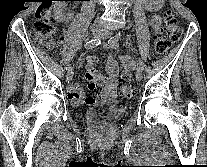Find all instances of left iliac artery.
Listing matches in <instances>:
<instances>
[{
    "instance_id": "1",
    "label": "left iliac artery",
    "mask_w": 207,
    "mask_h": 167,
    "mask_svg": "<svg viewBox=\"0 0 207 167\" xmlns=\"http://www.w3.org/2000/svg\"><path fill=\"white\" fill-rule=\"evenodd\" d=\"M122 33H123V31H122ZM122 33L118 32L114 37L111 38L110 44L112 47H114V48L118 47V45H119L118 41L120 40ZM137 67H138V69H141V70L144 69V64L140 59L138 60Z\"/></svg>"
}]
</instances>
